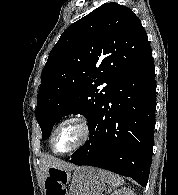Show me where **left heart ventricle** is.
<instances>
[{
	"mask_svg": "<svg viewBox=\"0 0 178 195\" xmlns=\"http://www.w3.org/2000/svg\"><path fill=\"white\" fill-rule=\"evenodd\" d=\"M82 136V131L76 124H67L57 133L55 139V149L65 151L78 143Z\"/></svg>",
	"mask_w": 178,
	"mask_h": 195,
	"instance_id": "obj_1",
	"label": "left heart ventricle"
}]
</instances>
